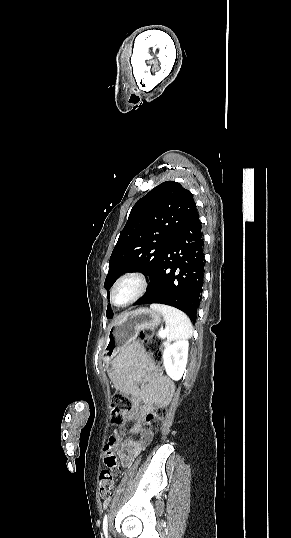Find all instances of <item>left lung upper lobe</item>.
<instances>
[{"label": "left lung upper lobe", "instance_id": "5c2ea615", "mask_svg": "<svg viewBox=\"0 0 291 538\" xmlns=\"http://www.w3.org/2000/svg\"><path fill=\"white\" fill-rule=\"evenodd\" d=\"M196 213L192 193L175 181L163 182L139 199L111 254L105 289L126 272L151 278L173 238ZM106 315L113 317L110 304Z\"/></svg>", "mask_w": 291, "mask_h": 538}]
</instances>
